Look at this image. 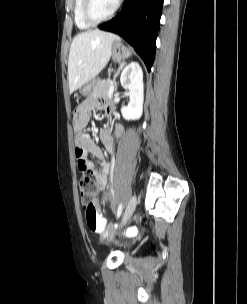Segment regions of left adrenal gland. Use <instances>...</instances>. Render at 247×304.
Here are the masks:
<instances>
[{
	"instance_id": "1",
	"label": "left adrenal gland",
	"mask_w": 247,
	"mask_h": 304,
	"mask_svg": "<svg viewBox=\"0 0 247 304\" xmlns=\"http://www.w3.org/2000/svg\"><path fill=\"white\" fill-rule=\"evenodd\" d=\"M126 64V62H122L118 68V70L116 71V73L114 74V77H113V84H114V87H115V91L117 90V82H116V78L118 76V74L120 73L121 69L124 67V65Z\"/></svg>"
}]
</instances>
